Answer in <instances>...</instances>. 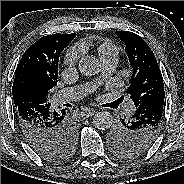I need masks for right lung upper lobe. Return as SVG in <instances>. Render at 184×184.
Wrapping results in <instances>:
<instances>
[{
	"label": "right lung upper lobe",
	"instance_id": "cb5924a9",
	"mask_svg": "<svg viewBox=\"0 0 184 184\" xmlns=\"http://www.w3.org/2000/svg\"><path fill=\"white\" fill-rule=\"evenodd\" d=\"M75 37V33L43 36L25 51L12 87L15 106L24 103V95L31 98L30 103L48 102V92L58 81L59 56Z\"/></svg>",
	"mask_w": 184,
	"mask_h": 184
}]
</instances>
